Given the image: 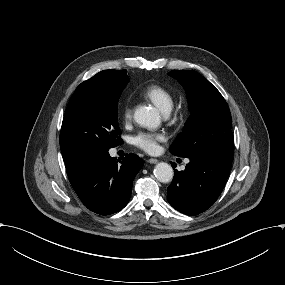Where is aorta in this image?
Masks as SVG:
<instances>
[{"instance_id": "aorta-1", "label": "aorta", "mask_w": 285, "mask_h": 285, "mask_svg": "<svg viewBox=\"0 0 285 285\" xmlns=\"http://www.w3.org/2000/svg\"><path fill=\"white\" fill-rule=\"evenodd\" d=\"M134 120L137 124L149 129L157 128L160 125V118L155 108L141 106L135 110ZM154 175L159 182L168 183L173 179V169L165 162L158 163L154 169Z\"/></svg>"}]
</instances>
